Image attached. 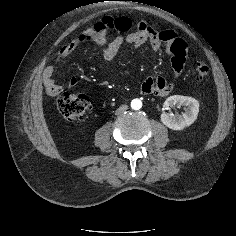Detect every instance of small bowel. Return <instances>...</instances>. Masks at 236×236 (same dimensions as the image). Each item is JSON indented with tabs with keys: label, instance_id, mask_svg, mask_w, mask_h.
Masks as SVG:
<instances>
[{
	"label": "small bowel",
	"instance_id": "1",
	"mask_svg": "<svg viewBox=\"0 0 236 236\" xmlns=\"http://www.w3.org/2000/svg\"><path fill=\"white\" fill-rule=\"evenodd\" d=\"M114 18L106 17L97 22L92 28L81 31L73 40L66 43L59 50L56 62L60 63L81 45L86 43H94L101 47V55L105 61H111L117 55L123 44L128 43L138 48L149 42L152 49L160 50L163 46L170 56L172 65V78L177 80L180 78L188 56V44L179 37L173 30L158 31L150 26L145 21H140L135 30L130 27L124 31L117 28L113 30ZM109 31L127 32L124 35H119L107 43V35ZM55 67L48 65L44 68L41 78L45 91L50 96H58L63 92V87L57 84L54 80ZM77 84L76 78H71L68 82L69 87ZM173 90V85L165 77L158 76L156 78H146L140 87V91L145 95L166 96Z\"/></svg>",
	"mask_w": 236,
	"mask_h": 236
}]
</instances>
